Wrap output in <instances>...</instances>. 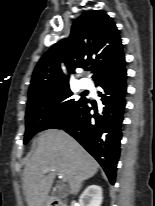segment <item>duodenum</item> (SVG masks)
<instances>
[{
    "mask_svg": "<svg viewBox=\"0 0 155 206\" xmlns=\"http://www.w3.org/2000/svg\"><path fill=\"white\" fill-rule=\"evenodd\" d=\"M47 206H67V205L55 197H49L47 201Z\"/></svg>",
    "mask_w": 155,
    "mask_h": 206,
    "instance_id": "410a0bca",
    "label": "duodenum"
}]
</instances>
